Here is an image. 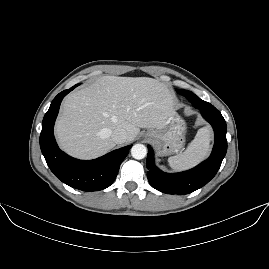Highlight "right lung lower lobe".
<instances>
[{"label": "right lung lower lobe", "instance_id": "obj_1", "mask_svg": "<svg viewBox=\"0 0 269 269\" xmlns=\"http://www.w3.org/2000/svg\"><path fill=\"white\" fill-rule=\"evenodd\" d=\"M59 93L52 101L42 122L40 148L51 171L65 184L83 191H99L110 186L115 180L120 164L132 145L114 150L95 160L82 161L62 152L53 134L54 122L62 99L71 90Z\"/></svg>", "mask_w": 269, "mask_h": 269}]
</instances>
